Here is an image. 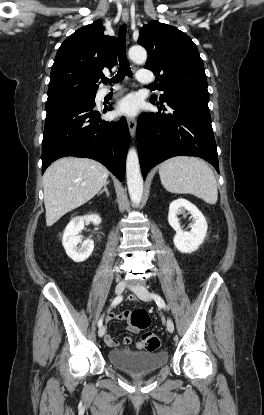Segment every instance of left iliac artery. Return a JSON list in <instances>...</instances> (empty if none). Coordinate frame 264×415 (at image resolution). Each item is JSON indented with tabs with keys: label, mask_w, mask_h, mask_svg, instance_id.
Masks as SVG:
<instances>
[{
	"label": "left iliac artery",
	"mask_w": 264,
	"mask_h": 415,
	"mask_svg": "<svg viewBox=\"0 0 264 415\" xmlns=\"http://www.w3.org/2000/svg\"><path fill=\"white\" fill-rule=\"evenodd\" d=\"M151 297L156 301L157 305L166 309L164 300L157 294L151 293Z\"/></svg>",
	"instance_id": "1"
}]
</instances>
